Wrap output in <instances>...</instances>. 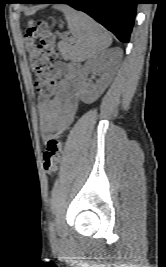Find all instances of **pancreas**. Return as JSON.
Wrapping results in <instances>:
<instances>
[{
    "instance_id": "obj_1",
    "label": "pancreas",
    "mask_w": 166,
    "mask_h": 267,
    "mask_svg": "<svg viewBox=\"0 0 166 267\" xmlns=\"http://www.w3.org/2000/svg\"><path fill=\"white\" fill-rule=\"evenodd\" d=\"M58 49H59V51L61 52V54H62V56L64 58H68L69 57V52H70L71 46L66 40L61 41L58 44Z\"/></svg>"
}]
</instances>
